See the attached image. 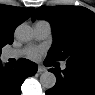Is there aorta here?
<instances>
[{
    "label": "aorta",
    "instance_id": "762f6f07",
    "mask_svg": "<svg viewBox=\"0 0 95 95\" xmlns=\"http://www.w3.org/2000/svg\"><path fill=\"white\" fill-rule=\"evenodd\" d=\"M17 39L27 42L34 37V31L28 24L22 23L15 29ZM40 83L46 89H51L56 84V76L51 72H43L40 76Z\"/></svg>",
    "mask_w": 95,
    "mask_h": 95
}]
</instances>
